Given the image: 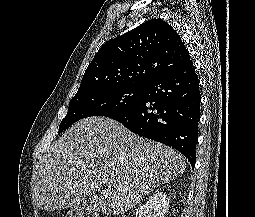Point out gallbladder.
Instances as JSON below:
<instances>
[{
  "mask_svg": "<svg viewBox=\"0 0 255 217\" xmlns=\"http://www.w3.org/2000/svg\"><path fill=\"white\" fill-rule=\"evenodd\" d=\"M97 212V199L89 196L84 201L70 207L69 217H92Z\"/></svg>",
  "mask_w": 255,
  "mask_h": 217,
  "instance_id": "1",
  "label": "gallbladder"
}]
</instances>
